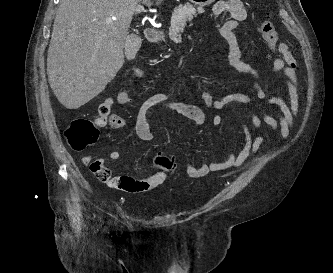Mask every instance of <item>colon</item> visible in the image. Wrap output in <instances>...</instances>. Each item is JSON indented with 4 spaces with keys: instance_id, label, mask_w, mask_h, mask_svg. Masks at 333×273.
<instances>
[{
    "instance_id": "colon-1",
    "label": "colon",
    "mask_w": 333,
    "mask_h": 273,
    "mask_svg": "<svg viewBox=\"0 0 333 273\" xmlns=\"http://www.w3.org/2000/svg\"><path fill=\"white\" fill-rule=\"evenodd\" d=\"M259 32L269 47L270 51L272 53H278V35L275 30L274 23L269 18H265L261 22ZM65 137L72 149L77 151L84 150L97 142L99 138L98 125L95 121L90 119H75L67 127L65 131ZM154 165L157 169L165 172H171L174 169L172 160L161 155L154 159ZM90 169L93 174L102 182L109 184L114 179L111 170L101 159L94 160L90 164Z\"/></svg>"
}]
</instances>
